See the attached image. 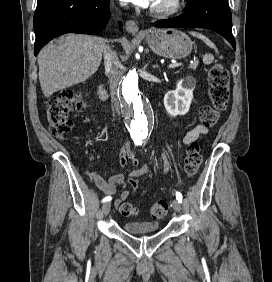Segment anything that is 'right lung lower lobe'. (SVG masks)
Returning <instances> with one entry per match:
<instances>
[{
  "label": "right lung lower lobe",
  "mask_w": 272,
  "mask_h": 282,
  "mask_svg": "<svg viewBox=\"0 0 272 282\" xmlns=\"http://www.w3.org/2000/svg\"><path fill=\"white\" fill-rule=\"evenodd\" d=\"M109 4V0H38L34 55L65 33L96 34L103 30L110 16Z\"/></svg>",
  "instance_id": "right-lung-lower-lobe-1"
}]
</instances>
